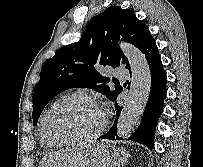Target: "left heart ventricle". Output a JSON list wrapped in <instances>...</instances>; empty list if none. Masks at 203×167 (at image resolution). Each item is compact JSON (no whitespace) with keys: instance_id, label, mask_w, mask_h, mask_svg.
Here are the masks:
<instances>
[{"instance_id":"left-heart-ventricle-1","label":"left heart ventricle","mask_w":203,"mask_h":167,"mask_svg":"<svg viewBox=\"0 0 203 167\" xmlns=\"http://www.w3.org/2000/svg\"><path fill=\"white\" fill-rule=\"evenodd\" d=\"M101 123V113L90 103L79 100L54 113L47 121V130L60 139L83 138L94 133Z\"/></svg>"}]
</instances>
